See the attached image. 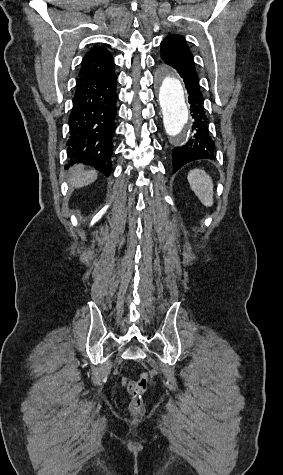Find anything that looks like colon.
I'll return each instance as SVG.
<instances>
[{
  "label": "colon",
  "mask_w": 283,
  "mask_h": 475,
  "mask_svg": "<svg viewBox=\"0 0 283 475\" xmlns=\"http://www.w3.org/2000/svg\"><path fill=\"white\" fill-rule=\"evenodd\" d=\"M150 381V374L144 372L139 379L134 382H127V388L132 393V399L130 402V408L135 414H140L144 408V395Z\"/></svg>",
  "instance_id": "obj_1"
}]
</instances>
